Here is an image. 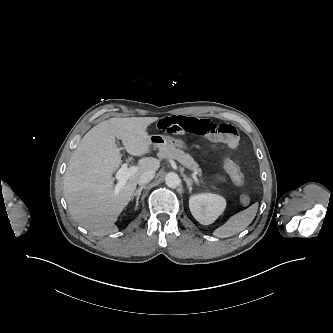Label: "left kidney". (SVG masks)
I'll return each instance as SVG.
<instances>
[{"mask_svg": "<svg viewBox=\"0 0 333 333\" xmlns=\"http://www.w3.org/2000/svg\"><path fill=\"white\" fill-rule=\"evenodd\" d=\"M225 207L226 200L217 194L199 193L189 199L193 217L203 225L212 224L223 213Z\"/></svg>", "mask_w": 333, "mask_h": 333, "instance_id": "1", "label": "left kidney"}]
</instances>
